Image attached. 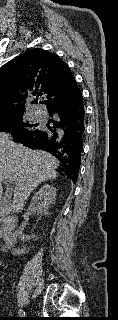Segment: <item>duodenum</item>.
I'll return each instance as SVG.
<instances>
[{"label": "duodenum", "instance_id": "obj_1", "mask_svg": "<svg viewBox=\"0 0 118 320\" xmlns=\"http://www.w3.org/2000/svg\"><path fill=\"white\" fill-rule=\"evenodd\" d=\"M16 225L17 220L13 216L4 215L0 219V237L3 239L5 249H9L16 243Z\"/></svg>", "mask_w": 118, "mask_h": 320}]
</instances>
